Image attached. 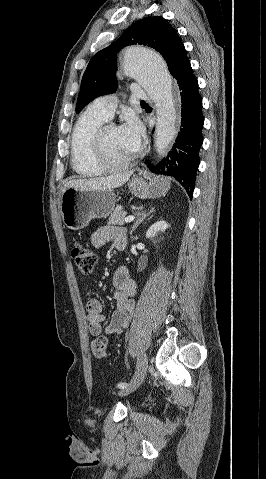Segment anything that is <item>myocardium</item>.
<instances>
[{
  "label": "myocardium",
  "mask_w": 266,
  "mask_h": 479,
  "mask_svg": "<svg viewBox=\"0 0 266 479\" xmlns=\"http://www.w3.org/2000/svg\"><path fill=\"white\" fill-rule=\"evenodd\" d=\"M111 129H118V127L115 124H104L96 130L93 138L92 155L94 161L105 171L115 172L128 168L133 162V157L121 163H114L108 158L105 148V137L106 133Z\"/></svg>",
  "instance_id": "1"
}]
</instances>
